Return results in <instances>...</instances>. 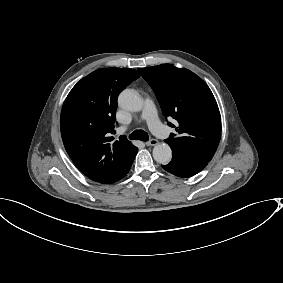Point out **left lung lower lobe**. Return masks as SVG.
Masks as SVG:
<instances>
[{
  "label": "left lung lower lobe",
  "mask_w": 283,
  "mask_h": 283,
  "mask_svg": "<svg viewBox=\"0 0 283 283\" xmlns=\"http://www.w3.org/2000/svg\"><path fill=\"white\" fill-rule=\"evenodd\" d=\"M207 164V161L172 151V160L162 167L175 176L190 177L203 170Z\"/></svg>",
  "instance_id": "1"
}]
</instances>
